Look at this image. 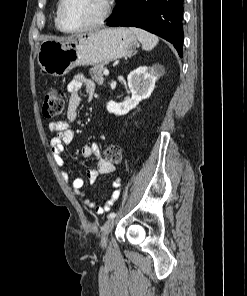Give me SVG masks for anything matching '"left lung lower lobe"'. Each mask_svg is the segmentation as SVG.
<instances>
[{"instance_id": "0a47b994", "label": "left lung lower lobe", "mask_w": 247, "mask_h": 296, "mask_svg": "<svg viewBox=\"0 0 247 296\" xmlns=\"http://www.w3.org/2000/svg\"><path fill=\"white\" fill-rule=\"evenodd\" d=\"M184 0H116L108 26H133L154 33L174 45L180 57L183 46Z\"/></svg>"}]
</instances>
